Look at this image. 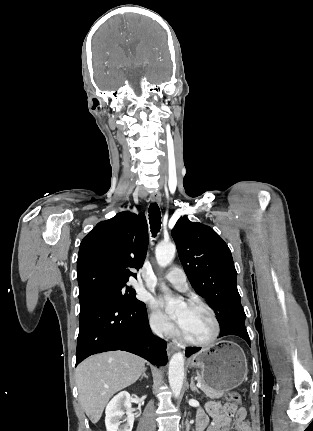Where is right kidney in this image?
I'll use <instances>...</instances> for the list:
<instances>
[{"instance_id": "right-kidney-1", "label": "right kidney", "mask_w": 313, "mask_h": 431, "mask_svg": "<svg viewBox=\"0 0 313 431\" xmlns=\"http://www.w3.org/2000/svg\"><path fill=\"white\" fill-rule=\"evenodd\" d=\"M105 425L107 431H132L134 413L130 394L122 391L117 394L106 406ZM126 414V423L121 425L120 419Z\"/></svg>"}]
</instances>
